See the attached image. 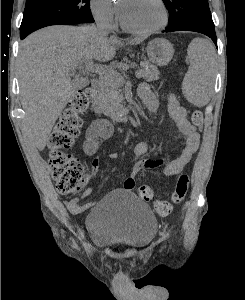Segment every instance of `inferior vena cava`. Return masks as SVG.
<instances>
[{
  "label": "inferior vena cava",
  "instance_id": "1",
  "mask_svg": "<svg viewBox=\"0 0 245 300\" xmlns=\"http://www.w3.org/2000/svg\"><path fill=\"white\" fill-rule=\"evenodd\" d=\"M97 29L101 33H107L110 30L108 23L105 20H98L96 22Z\"/></svg>",
  "mask_w": 245,
  "mask_h": 300
}]
</instances>
